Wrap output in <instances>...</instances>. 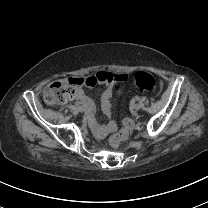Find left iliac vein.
Returning a JSON list of instances; mask_svg holds the SVG:
<instances>
[{
    "label": "left iliac vein",
    "instance_id": "1",
    "mask_svg": "<svg viewBox=\"0 0 208 208\" xmlns=\"http://www.w3.org/2000/svg\"><path fill=\"white\" fill-rule=\"evenodd\" d=\"M140 108H141V105H140V104H135V105L133 106V109H134L135 111H139Z\"/></svg>",
    "mask_w": 208,
    "mask_h": 208
}]
</instances>
